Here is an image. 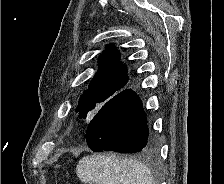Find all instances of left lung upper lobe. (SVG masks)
Returning a JSON list of instances; mask_svg holds the SVG:
<instances>
[{"label":"left lung upper lobe","instance_id":"5c2ea615","mask_svg":"<svg viewBox=\"0 0 224 184\" xmlns=\"http://www.w3.org/2000/svg\"><path fill=\"white\" fill-rule=\"evenodd\" d=\"M98 62L99 69L76 109L83 119L91 118L103 104L125 87L129 79L127 67L120 61V53L113 45H107Z\"/></svg>","mask_w":224,"mask_h":184}]
</instances>
